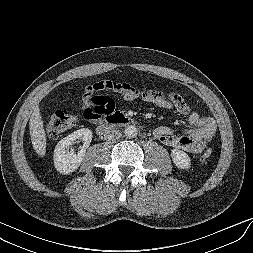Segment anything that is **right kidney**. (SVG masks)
Listing matches in <instances>:
<instances>
[{
    "instance_id": "right-kidney-1",
    "label": "right kidney",
    "mask_w": 253,
    "mask_h": 253,
    "mask_svg": "<svg viewBox=\"0 0 253 253\" xmlns=\"http://www.w3.org/2000/svg\"><path fill=\"white\" fill-rule=\"evenodd\" d=\"M92 137L91 130L82 128L59 141L55 147L53 157L56 170L61 174H70L78 169L86 155V149L89 147ZM77 139L83 140V146L76 154L74 151L70 150V146L73 145Z\"/></svg>"
}]
</instances>
